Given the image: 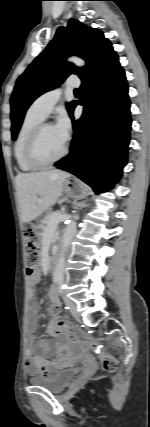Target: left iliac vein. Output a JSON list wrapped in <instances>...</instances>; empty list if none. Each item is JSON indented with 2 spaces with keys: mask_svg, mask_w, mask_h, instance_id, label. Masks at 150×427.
I'll return each mask as SVG.
<instances>
[{
  "mask_svg": "<svg viewBox=\"0 0 150 427\" xmlns=\"http://www.w3.org/2000/svg\"><path fill=\"white\" fill-rule=\"evenodd\" d=\"M65 303L69 307V310L74 318L80 319L79 313L77 312V306L76 304L69 298H65Z\"/></svg>",
  "mask_w": 150,
  "mask_h": 427,
  "instance_id": "obj_1",
  "label": "left iliac vein"
}]
</instances>
